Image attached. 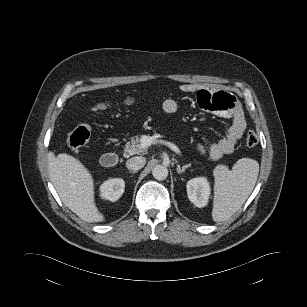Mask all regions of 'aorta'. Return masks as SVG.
Segmentation results:
<instances>
[{
	"instance_id": "762f6f07",
	"label": "aorta",
	"mask_w": 307,
	"mask_h": 307,
	"mask_svg": "<svg viewBox=\"0 0 307 307\" xmlns=\"http://www.w3.org/2000/svg\"><path fill=\"white\" fill-rule=\"evenodd\" d=\"M152 175L157 180H164L168 176V169L163 165H156L152 169Z\"/></svg>"
}]
</instances>
